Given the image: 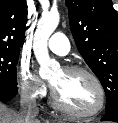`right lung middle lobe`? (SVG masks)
Returning a JSON list of instances; mask_svg holds the SVG:
<instances>
[{"instance_id":"obj_1","label":"right lung middle lobe","mask_w":118,"mask_h":123,"mask_svg":"<svg viewBox=\"0 0 118 123\" xmlns=\"http://www.w3.org/2000/svg\"><path fill=\"white\" fill-rule=\"evenodd\" d=\"M20 51L0 48V87H17L16 65Z\"/></svg>"}]
</instances>
